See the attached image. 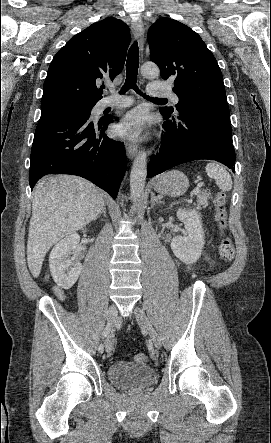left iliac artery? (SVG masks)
I'll return each instance as SVG.
<instances>
[{"label":"left iliac artery","instance_id":"1","mask_svg":"<svg viewBox=\"0 0 271 443\" xmlns=\"http://www.w3.org/2000/svg\"><path fill=\"white\" fill-rule=\"evenodd\" d=\"M147 346H148V349H149V352H150L151 356L153 357L155 352H154V348H153V344H152L151 340H147Z\"/></svg>","mask_w":271,"mask_h":443}]
</instances>
